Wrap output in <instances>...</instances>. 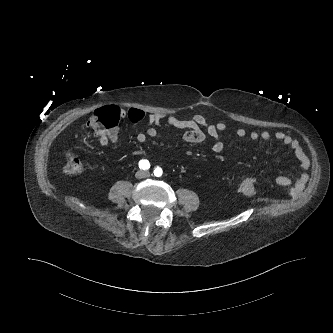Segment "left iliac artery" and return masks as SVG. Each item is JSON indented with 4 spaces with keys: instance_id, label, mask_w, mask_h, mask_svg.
Here are the masks:
<instances>
[{
    "instance_id": "obj_1",
    "label": "left iliac artery",
    "mask_w": 333,
    "mask_h": 333,
    "mask_svg": "<svg viewBox=\"0 0 333 333\" xmlns=\"http://www.w3.org/2000/svg\"><path fill=\"white\" fill-rule=\"evenodd\" d=\"M163 171L162 169L157 166L155 169H154V175L157 176V177H160L162 175Z\"/></svg>"
}]
</instances>
